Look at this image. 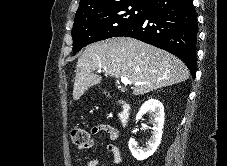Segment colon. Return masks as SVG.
<instances>
[{"mask_svg": "<svg viewBox=\"0 0 227 166\" xmlns=\"http://www.w3.org/2000/svg\"><path fill=\"white\" fill-rule=\"evenodd\" d=\"M70 139L75 146H88L92 141L89 132L78 125L71 127Z\"/></svg>", "mask_w": 227, "mask_h": 166, "instance_id": "obj_1", "label": "colon"}]
</instances>
